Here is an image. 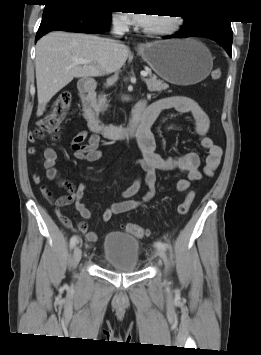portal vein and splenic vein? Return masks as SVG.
Segmentation results:
<instances>
[{"instance_id": "1", "label": "portal vein and splenic vein", "mask_w": 261, "mask_h": 355, "mask_svg": "<svg viewBox=\"0 0 261 355\" xmlns=\"http://www.w3.org/2000/svg\"><path fill=\"white\" fill-rule=\"evenodd\" d=\"M74 61H75L76 64H86V63L89 62L88 60L81 59V58H79V59H74ZM141 76H142L143 78H145V77L148 76V73L145 72V71H142V72H141Z\"/></svg>"}]
</instances>
